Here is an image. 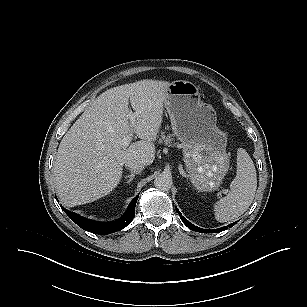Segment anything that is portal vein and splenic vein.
<instances>
[{
	"label": "portal vein and splenic vein",
	"mask_w": 307,
	"mask_h": 307,
	"mask_svg": "<svg viewBox=\"0 0 307 307\" xmlns=\"http://www.w3.org/2000/svg\"><path fill=\"white\" fill-rule=\"evenodd\" d=\"M129 118H130V122H131V127L134 128L135 127V118H136V114L135 113H129ZM133 138V129L131 131V133L129 135H127L126 137L123 138L122 140V145L124 148L129 146V143L132 141Z\"/></svg>",
	"instance_id": "obj_1"
}]
</instances>
